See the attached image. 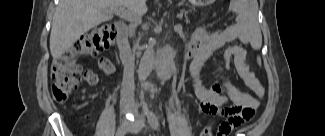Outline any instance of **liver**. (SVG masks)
Returning a JSON list of instances; mask_svg holds the SVG:
<instances>
[{"label":"liver","mask_w":325,"mask_h":136,"mask_svg":"<svg viewBox=\"0 0 325 136\" xmlns=\"http://www.w3.org/2000/svg\"><path fill=\"white\" fill-rule=\"evenodd\" d=\"M128 6L143 13L145 0H60L53 17L50 52L58 59L90 29L113 18L115 9Z\"/></svg>","instance_id":"obj_1"}]
</instances>
